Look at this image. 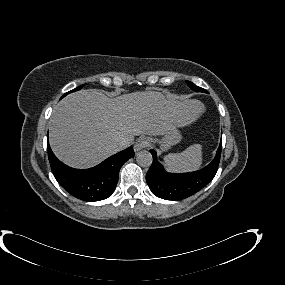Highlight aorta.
I'll return each instance as SVG.
<instances>
[{"instance_id":"762f6f07","label":"aorta","mask_w":285,"mask_h":285,"mask_svg":"<svg viewBox=\"0 0 285 285\" xmlns=\"http://www.w3.org/2000/svg\"><path fill=\"white\" fill-rule=\"evenodd\" d=\"M136 161L141 167H149L152 164L153 157L149 151L143 150L137 153Z\"/></svg>"}]
</instances>
